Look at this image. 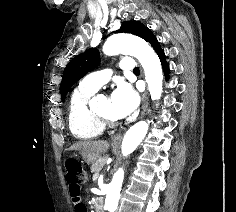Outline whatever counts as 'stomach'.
Segmentation results:
<instances>
[{
    "instance_id": "obj_1",
    "label": "stomach",
    "mask_w": 236,
    "mask_h": 212,
    "mask_svg": "<svg viewBox=\"0 0 236 212\" xmlns=\"http://www.w3.org/2000/svg\"><path fill=\"white\" fill-rule=\"evenodd\" d=\"M79 153H80V155H81L83 161H84L85 163H87V164H92V163H94L95 161H97V159H98V157H99V156H96V155H94V154H92V153H88V152H86V151H80Z\"/></svg>"
}]
</instances>
